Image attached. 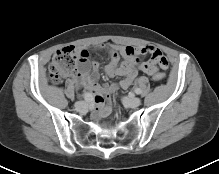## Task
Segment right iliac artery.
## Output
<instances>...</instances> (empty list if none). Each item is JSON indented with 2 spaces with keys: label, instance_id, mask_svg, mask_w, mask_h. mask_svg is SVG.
Segmentation results:
<instances>
[{
  "label": "right iliac artery",
  "instance_id": "obj_1",
  "mask_svg": "<svg viewBox=\"0 0 219 174\" xmlns=\"http://www.w3.org/2000/svg\"><path fill=\"white\" fill-rule=\"evenodd\" d=\"M84 98H85V100H86L87 102H90V101L92 100V97H91V95H90L89 93H85V94H84Z\"/></svg>",
  "mask_w": 219,
  "mask_h": 174
}]
</instances>
